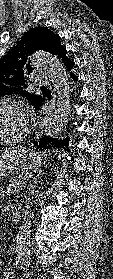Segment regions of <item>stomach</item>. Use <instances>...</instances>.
Listing matches in <instances>:
<instances>
[{
  "label": "stomach",
  "mask_w": 113,
  "mask_h": 279,
  "mask_svg": "<svg viewBox=\"0 0 113 279\" xmlns=\"http://www.w3.org/2000/svg\"><path fill=\"white\" fill-rule=\"evenodd\" d=\"M45 152L22 147L0 151V179L17 171L37 169L48 160Z\"/></svg>",
  "instance_id": "obj_1"
}]
</instances>
